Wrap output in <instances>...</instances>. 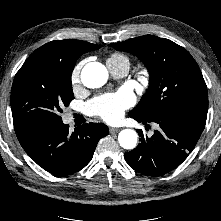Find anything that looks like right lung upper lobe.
Returning <instances> with one entry per match:
<instances>
[{"label": "right lung upper lobe", "instance_id": "cb5924a9", "mask_svg": "<svg viewBox=\"0 0 221 221\" xmlns=\"http://www.w3.org/2000/svg\"><path fill=\"white\" fill-rule=\"evenodd\" d=\"M100 46L96 44H91L81 40H56L51 41L38 48L37 52L47 53V54H62L67 57L77 58L82 54L97 50Z\"/></svg>", "mask_w": 221, "mask_h": 221}]
</instances>
